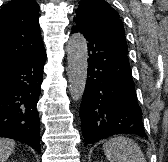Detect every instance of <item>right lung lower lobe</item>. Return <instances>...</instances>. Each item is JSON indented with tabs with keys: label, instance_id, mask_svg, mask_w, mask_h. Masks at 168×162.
I'll return each mask as SVG.
<instances>
[{
	"label": "right lung lower lobe",
	"instance_id": "right-lung-lower-lobe-1",
	"mask_svg": "<svg viewBox=\"0 0 168 162\" xmlns=\"http://www.w3.org/2000/svg\"><path fill=\"white\" fill-rule=\"evenodd\" d=\"M46 52L0 70V137L24 142L40 152V96Z\"/></svg>",
	"mask_w": 168,
	"mask_h": 162
}]
</instances>
